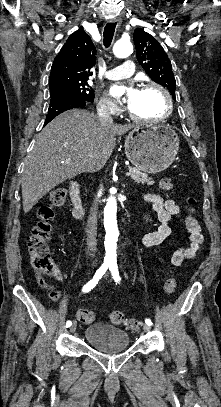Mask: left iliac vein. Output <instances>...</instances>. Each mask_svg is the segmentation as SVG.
I'll list each match as a JSON object with an SVG mask.
<instances>
[{"instance_id":"1","label":"left iliac vein","mask_w":221,"mask_h":407,"mask_svg":"<svg viewBox=\"0 0 221 407\" xmlns=\"http://www.w3.org/2000/svg\"><path fill=\"white\" fill-rule=\"evenodd\" d=\"M143 330H144L145 332H150V331H151V326H150V325H147V324H143Z\"/></svg>"}]
</instances>
